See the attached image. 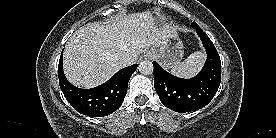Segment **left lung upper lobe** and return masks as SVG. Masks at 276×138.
<instances>
[{"label": "left lung upper lobe", "instance_id": "obj_1", "mask_svg": "<svg viewBox=\"0 0 276 138\" xmlns=\"http://www.w3.org/2000/svg\"><path fill=\"white\" fill-rule=\"evenodd\" d=\"M194 26V22L192 23V27Z\"/></svg>", "mask_w": 276, "mask_h": 138}]
</instances>
